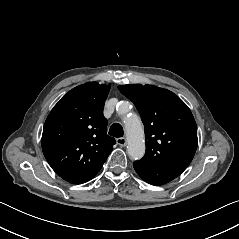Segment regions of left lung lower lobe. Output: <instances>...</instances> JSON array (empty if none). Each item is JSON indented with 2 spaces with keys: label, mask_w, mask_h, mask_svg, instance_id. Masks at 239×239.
Returning <instances> with one entry per match:
<instances>
[{
  "label": "left lung lower lobe",
  "mask_w": 239,
  "mask_h": 239,
  "mask_svg": "<svg viewBox=\"0 0 239 239\" xmlns=\"http://www.w3.org/2000/svg\"><path fill=\"white\" fill-rule=\"evenodd\" d=\"M133 166L138 175L152 185L166 184L178 177L185 170L184 167L146 165L139 161H135Z\"/></svg>",
  "instance_id": "obj_1"
}]
</instances>
